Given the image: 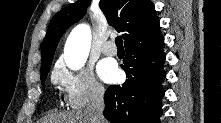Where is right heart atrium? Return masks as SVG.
<instances>
[{"instance_id":"right-heart-atrium-1","label":"right heart atrium","mask_w":221,"mask_h":123,"mask_svg":"<svg viewBox=\"0 0 221 123\" xmlns=\"http://www.w3.org/2000/svg\"><path fill=\"white\" fill-rule=\"evenodd\" d=\"M52 80L62 90L64 101L71 109H81L104 97V87L88 67L70 70L58 64L52 73Z\"/></svg>"}]
</instances>
